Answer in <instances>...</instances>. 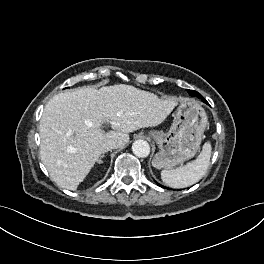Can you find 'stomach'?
<instances>
[{
	"mask_svg": "<svg viewBox=\"0 0 264 264\" xmlns=\"http://www.w3.org/2000/svg\"><path fill=\"white\" fill-rule=\"evenodd\" d=\"M175 114L167 132H149L159 147L153 159L157 169H172L194 157L208 123L205 110L193 99H182Z\"/></svg>",
	"mask_w": 264,
	"mask_h": 264,
	"instance_id": "1",
	"label": "stomach"
}]
</instances>
